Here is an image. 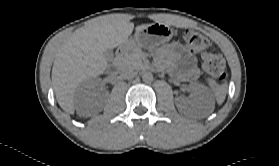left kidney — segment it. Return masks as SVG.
<instances>
[{
    "label": "left kidney",
    "instance_id": "left-kidney-1",
    "mask_svg": "<svg viewBox=\"0 0 279 166\" xmlns=\"http://www.w3.org/2000/svg\"><path fill=\"white\" fill-rule=\"evenodd\" d=\"M191 91L190 98L185 99L182 96L175 98L176 107L180 112H187L190 108L203 109L213 101V96L203 84L192 83L189 85Z\"/></svg>",
    "mask_w": 279,
    "mask_h": 166
}]
</instances>
